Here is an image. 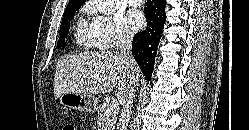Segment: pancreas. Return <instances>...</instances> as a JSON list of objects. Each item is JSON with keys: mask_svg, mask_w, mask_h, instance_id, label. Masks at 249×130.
<instances>
[{"mask_svg": "<svg viewBox=\"0 0 249 130\" xmlns=\"http://www.w3.org/2000/svg\"><path fill=\"white\" fill-rule=\"evenodd\" d=\"M109 105L104 104L97 107V125L99 130H114L116 115L106 116L105 111Z\"/></svg>", "mask_w": 249, "mask_h": 130, "instance_id": "1", "label": "pancreas"}]
</instances>
